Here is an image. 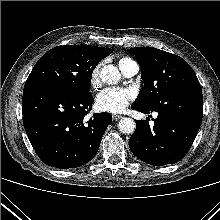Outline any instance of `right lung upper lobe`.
I'll use <instances>...</instances> for the list:
<instances>
[{"instance_id":"cb5924a9","label":"right lung upper lobe","mask_w":220,"mask_h":220,"mask_svg":"<svg viewBox=\"0 0 220 220\" xmlns=\"http://www.w3.org/2000/svg\"><path fill=\"white\" fill-rule=\"evenodd\" d=\"M90 50H92L94 53L100 55L102 58L107 57L110 55L113 50L110 48H105V47H97V46H87Z\"/></svg>"}]
</instances>
